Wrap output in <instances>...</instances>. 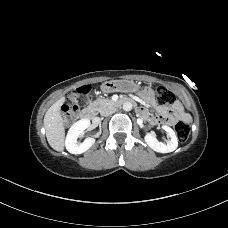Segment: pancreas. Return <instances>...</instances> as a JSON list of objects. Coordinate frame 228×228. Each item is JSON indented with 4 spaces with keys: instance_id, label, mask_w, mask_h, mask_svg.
Returning a JSON list of instances; mask_svg holds the SVG:
<instances>
[{
    "instance_id": "obj_1",
    "label": "pancreas",
    "mask_w": 228,
    "mask_h": 228,
    "mask_svg": "<svg viewBox=\"0 0 228 228\" xmlns=\"http://www.w3.org/2000/svg\"><path fill=\"white\" fill-rule=\"evenodd\" d=\"M113 104V102L109 99H97L94 102H92L90 104V106L98 111V112H102L107 106Z\"/></svg>"
}]
</instances>
